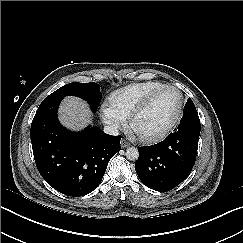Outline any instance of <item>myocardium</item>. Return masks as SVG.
Listing matches in <instances>:
<instances>
[{
	"label": "myocardium",
	"instance_id": "1",
	"mask_svg": "<svg viewBox=\"0 0 243 243\" xmlns=\"http://www.w3.org/2000/svg\"><path fill=\"white\" fill-rule=\"evenodd\" d=\"M168 90H175L179 93V106H178V110L177 113L174 117V119L171 121V123L159 134L156 135H145V134H141L135 127V122L137 117L143 112V110L161 93L168 91ZM183 107H184V94L183 92L176 86L174 85H168V86H164L163 88L153 92L152 94H150L146 99H144L139 105H137L133 111L130 113L129 115V119H128V127L129 130L135 135L137 136L142 142L145 143H154V142H158L162 139H164L165 137H167L172 130L176 127V125L178 124V122L181 119L182 113H183Z\"/></svg>",
	"mask_w": 243,
	"mask_h": 243
}]
</instances>
